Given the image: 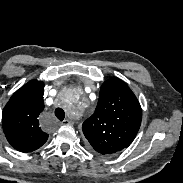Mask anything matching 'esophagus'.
<instances>
[{
  "mask_svg": "<svg viewBox=\"0 0 183 183\" xmlns=\"http://www.w3.org/2000/svg\"><path fill=\"white\" fill-rule=\"evenodd\" d=\"M71 124H72V122L68 119H66L62 122V125H71Z\"/></svg>",
  "mask_w": 183,
  "mask_h": 183,
  "instance_id": "esophagus-1",
  "label": "esophagus"
}]
</instances>
